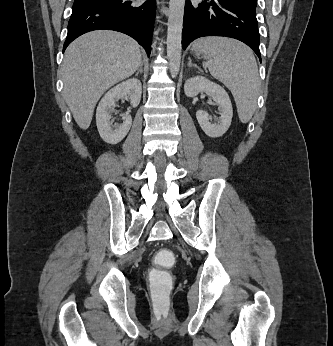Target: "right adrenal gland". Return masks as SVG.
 Wrapping results in <instances>:
<instances>
[{
  "label": "right adrenal gland",
  "mask_w": 333,
  "mask_h": 346,
  "mask_svg": "<svg viewBox=\"0 0 333 346\" xmlns=\"http://www.w3.org/2000/svg\"><path fill=\"white\" fill-rule=\"evenodd\" d=\"M139 73H143V62H141L139 69L137 70L135 75L138 76Z\"/></svg>",
  "instance_id": "obj_1"
}]
</instances>
